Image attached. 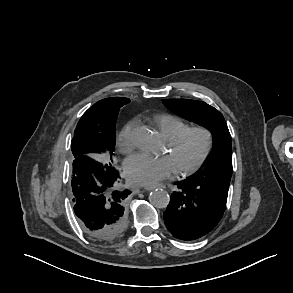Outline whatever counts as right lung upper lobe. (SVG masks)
<instances>
[{
  "label": "right lung upper lobe",
  "instance_id": "1",
  "mask_svg": "<svg viewBox=\"0 0 293 293\" xmlns=\"http://www.w3.org/2000/svg\"><path fill=\"white\" fill-rule=\"evenodd\" d=\"M129 101H130L129 99L122 98V97H111V98H106V99L100 100L96 104H94L91 108H89L84 113V115L82 116L81 119L84 120L88 116H92V115L100 116L106 107L114 105V104H118V103H123V102L125 104H127ZM94 155H95V153H82V154L76 155L75 159L80 156H87V157L96 159Z\"/></svg>",
  "mask_w": 293,
  "mask_h": 293
}]
</instances>
